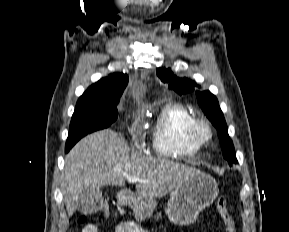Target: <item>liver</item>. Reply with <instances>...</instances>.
Returning a JSON list of instances; mask_svg holds the SVG:
<instances>
[{
  "label": "liver",
  "instance_id": "1",
  "mask_svg": "<svg viewBox=\"0 0 289 232\" xmlns=\"http://www.w3.org/2000/svg\"><path fill=\"white\" fill-rule=\"evenodd\" d=\"M125 138L111 129L92 133L67 154L62 176L63 196L69 217L78 209L80 195L102 186H123L127 177H138V195L163 197L188 179L193 168L170 160L129 155Z\"/></svg>",
  "mask_w": 289,
  "mask_h": 232
}]
</instances>
